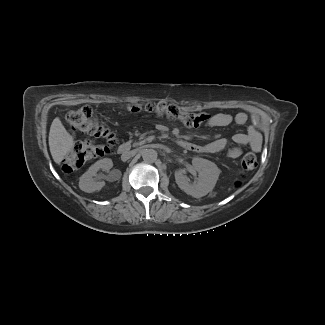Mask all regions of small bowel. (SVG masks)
<instances>
[{"label": "small bowel", "instance_id": "small-bowel-1", "mask_svg": "<svg viewBox=\"0 0 325 325\" xmlns=\"http://www.w3.org/2000/svg\"><path fill=\"white\" fill-rule=\"evenodd\" d=\"M246 120L247 116L243 112L236 114L217 113L213 115H208V120L206 124L209 127H225L232 124L243 125ZM66 135L68 138L71 139L73 145L78 146L81 144L83 137L81 131L70 128L67 130ZM233 142L235 143V145L228 148L229 140L225 138H219L205 145L192 146L190 149H195L204 153H215L228 148V155L231 158H237L241 155L243 146L252 144V139L248 133H238L234 136Z\"/></svg>", "mask_w": 325, "mask_h": 325}]
</instances>
